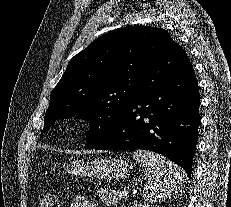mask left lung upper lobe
<instances>
[{"label":"left lung upper lobe","instance_id":"left-lung-upper-lobe-1","mask_svg":"<svg viewBox=\"0 0 231 207\" xmlns=\"http://www.w3.org/2000/svg\"><path fill=\"white\" fill-rule=\"evenodd\" d=\"M175 42L162 28L127 26L75 55L50 96L43 132L77 115L90 121L89 148L103 141L139 96L144 74Z\"/></svg>","mask_w":231,"mask_h":207}]
</instances>
